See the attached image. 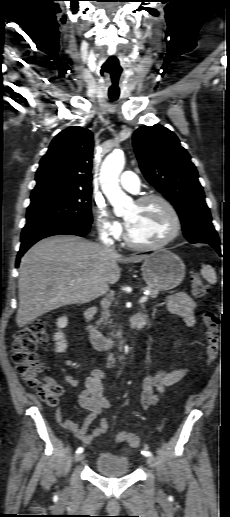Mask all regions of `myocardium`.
<instances>
[{"instance_id": "f54148a6", "label": "myocardium", "mask_w": 230, "mask_h": 517, "mask_svg": "<svg viewBox=\"0 0 230 517\" xmlns=\"http://www.w3.org/2000/svg\"><path fill=\"white\" fill-rule=\"evenodd\" d=\"M152 201H158L160 202L168 211L171 221H172V227L169 232V234L163 238L162 240L154 243H140L135 241L128 230V227L126 228L124 239L125 242L132 248L138 249V250H155L162 247L167 246L172 241H174L180 234L181 228H182V221L180 218V215L174 205L163 195L160 194H150L143 196L139 198L136 201V205L142 206Z\"/></svg>"}]
</instances>
